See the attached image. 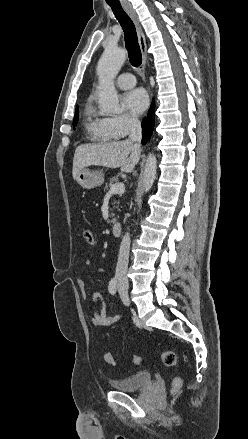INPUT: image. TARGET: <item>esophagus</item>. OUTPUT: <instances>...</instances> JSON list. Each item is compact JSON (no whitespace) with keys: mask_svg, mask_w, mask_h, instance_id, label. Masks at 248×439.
<instances>
[{"mask_svg":"<svg viewBox=\"0 0 248 439\" xmlns=\"http://www.w3.org/2000/svg\"><path fill=\"white\" fill-rule=\"evenodd\" d=\"M123 7L135 24L137 34H138V42H139V46H140L142 58H143V72H145V69L147 66V46H146V42H145L144 33L142 31V28H141V25L138 21V18L136 16L135 12L133 11V9L131 8V6L125 4V5H123Z\"/></svg>","mask_w":248,"mask_h":439,"instance_id":"34e87169","label":"esophagus"}]
</instances>
